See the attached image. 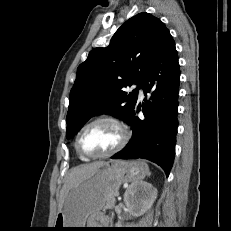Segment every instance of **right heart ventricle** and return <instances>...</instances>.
Listing matches in <instances>:
<instances>
[{
    "mask_svg": "<svg viewBox=\"0 0 231 231\" xmlns=\"http://www.w3.org/2000/svg\"><path fill=\"white\" fill-rule=\"evenodd\" d=\"M78 156H79V158H80L81 160H83V161L88 160V159H85V158L81 157L79 154H78Z\"/></svg>",
    "mask_w": 231,
    "mask_h": 231,
    "instance_id": "right-heart-ventricle-1",
    "label": "right heart ventricle"
}]
</instances>
